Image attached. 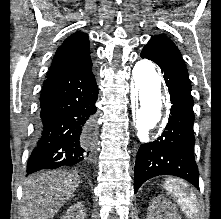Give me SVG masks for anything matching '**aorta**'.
I'll use <instances>...</instances> for the list:
<instances>
[{
  "mask_svg": "<svg viewBox=\"0 0 221 219\" xmlns=\"http://www.w3.org/2000/svg\"><path fill=\"white\" fill-rule=\"evenodd\" d=\"M132 89L134 123L138 138L144 141L148 131L160 122L166 99L161 76L152 61L142 59L135 64Z\"/></svg>",
  "mask_w": 221,
  "mask_h": 219,
  "instance_id": "obj_1",
  "label": "aorta"
}]
</instances>
